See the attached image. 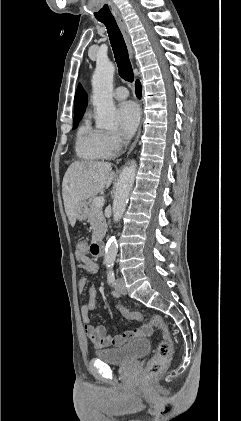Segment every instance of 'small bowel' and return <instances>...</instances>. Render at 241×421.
Returning a JSON list of instances; mask_svg holds the SVG:
<instances>
[{
	"label": "small bowel",
	"instance_id": "1",
	"mask_svg": "<svg viewBox=\"0 0 241 421\" xmlns=\"http://www.w3.org/2000/svg\"><path fill=\"white\" fill-rule=\"evenodd\" d=\"M76 258L80 267L86 272L91 275L97 273L98 264L88 255H80L76 253ZM77 286L80 292H83L85 289L88 290V301L81 306V317L84 324L85 333L88 336L90 342L96 348L119 347L129 341L148 336L152 333L151 325L144 324L133 330H127L119 335H109L105 326L94 325L90 319V314L99 307L96 301V286L92 284L88 287V280L84 277L79 279Z\"/></svg>",
	"mask_w": 241,
	"mask_h": 421
}]
</instances>
